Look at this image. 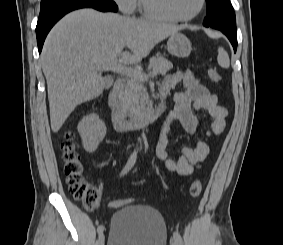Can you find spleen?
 <instances>
[{
	"label": "spleen",
	"mask_w": 283,
	"mask_h": 245,
	"mask_svg": "<svg viewBox=\"0 0 283 245\" xmlns=\"http://www.w3.org/2000/svg\"><path fill=\"white\" fill-rule=\"evenodd\" d=\"M218 63L222 68H229L230 66V59L227 54V52L220 47L218 49V57H217Z\"/></svg>",
	"instance_id": "3e777b00"
}]
</instances>
